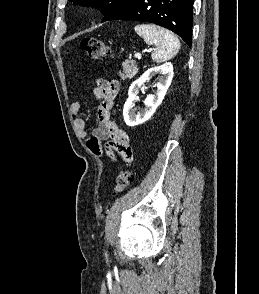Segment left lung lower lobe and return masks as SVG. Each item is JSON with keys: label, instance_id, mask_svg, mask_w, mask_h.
Returning <instances> with one entry per match:
<instances>
[{"label": "left lung lower lobe", "instance_id": "0a47b994", "mask_svg": "<svg viewBox=\"0 0 259 294\" xmlns=\"http://www.w3.org/2000/svg\"><path fill=\"white\" fill-rule=\"evenodd\" d=\"M192 9L193 0H132L105 21L133 20L154 23L173 31L191 46Z\"/></svg>", "mask_w": 259, "mask_h": 294}]
</instances>
